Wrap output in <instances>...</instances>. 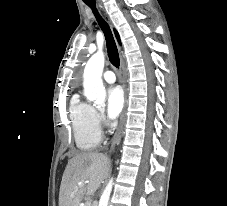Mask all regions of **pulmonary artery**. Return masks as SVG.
Listing matches in <instances>:
<instances>
[{"label": "pulmonary artery", "instance_id": "1", "mask_svg": "<svg viewBox=\"0 0 227 206\" xmlns=\"http://www.w3.org/2000/svg\"><path fill=\"white\" fill-rule=\"evenodd\" d=\"M103 79L107 82V83H114L116 81V77L113 71L108 70L105 71L103 74Z\"/></svg>", "mask_w": 227, "mask_h": 206}]
</instances>
